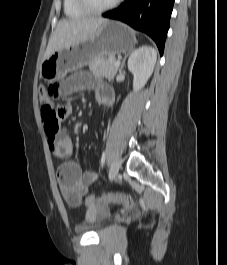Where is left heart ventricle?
I'll return each mask as SVG.
<instances>
[{"label": "left heart ventricle", "instance_id": "b2bd125f", "mask_svg": "<svg viewBox=\"0 0 227 265\" xmlns=\"http://www.w3.org/2000/svg\"><path fill=\"white\" fill-rule=\"evenodd\" d=\"M113 0H89L94 7H103L110 4Z\"/></svg>", "mask_w": 227, "mask_h": 265}]
</instances>
